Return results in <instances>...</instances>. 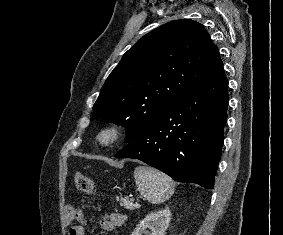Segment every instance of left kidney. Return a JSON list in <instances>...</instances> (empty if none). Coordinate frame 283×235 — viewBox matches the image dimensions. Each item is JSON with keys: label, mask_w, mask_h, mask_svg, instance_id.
<instances>
[{"label": "left kidney", "mask_w": 283, "mask_h": 235, "mask_svg": "<svg viewBox=\"0 0 283 235\" xmlns=\"http://www.w3.org/2000/svg\"><path fill=\"white\" fill-rule=\"evenodd\" d=\"M171 219L169 208L145 216L131 235H165ZM150 229V232L146 229Z\"/></svg>", "instance_id": "left-kidney-1"}]
</instances>
